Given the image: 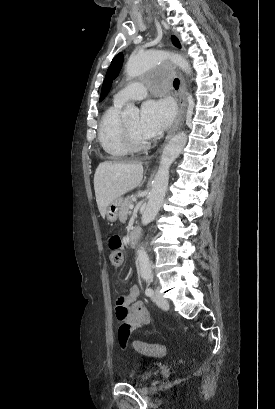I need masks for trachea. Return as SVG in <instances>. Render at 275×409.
Segmentation results:
<instances>
[{"label": "trachea", "mask_w": 275, "mask_h": 409, "mask_svg": "<svg viewBox=\"0 0 275 409\" xmlns=\"http://www.w3.org/2000/svg\"><path fill=\"white\" fill-rule=\"evenodd\" d=\"M179 79L178 78H175L174 79V82H173V86H174V88L177 90L178 88H179Z\"/></svg>", "instance_id": "obj_1"}]
</instances>
